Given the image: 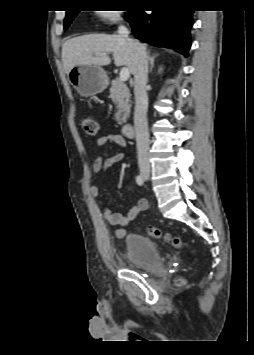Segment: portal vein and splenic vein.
<instances>
[{"label": "portal vein and splenic vein", "instance_id": "1", "mask_svg": "<svg viewBox=\"0 0 254 355\" xmlns=\"http://www.w3.org/2000/svg\"><path fill=\"white\" fill-rule=\"evenodd\" d=\"M96 55H101V56H105L106 54L105 53H96ZM130 77V71L127 67H123L121 70H120V74H119V80L122 81V82H125L129 79Z\"/></svg>", "mask_w": 254, "mask_h": 355}]
</instances>
